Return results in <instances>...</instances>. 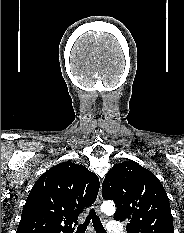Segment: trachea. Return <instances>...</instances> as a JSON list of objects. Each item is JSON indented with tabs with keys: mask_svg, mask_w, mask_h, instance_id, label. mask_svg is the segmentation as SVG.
Segmentation results:
<instances>
[{
	"mask_svg": "<svg viewBox=\"0 0 184 233\" xmlns=\"http://www.w3.org/2000/svg\"><path fill=\"white\" fill-rule=\"evenodd\" d=\"M92 219L93 227L97 233H106L100 218L96 215L95 210L92 208L89 210V214L87 215L85 221L78 225L76 233H85L88 224Z\"/></svg>",
	"mask_w": 184,
	"mask_h": 233,
	"instance_id": "trachea-1",
	"label": "trachea"
}]
</instances>
